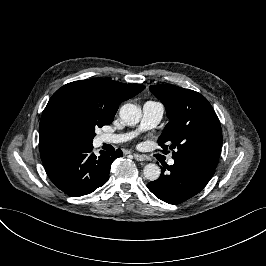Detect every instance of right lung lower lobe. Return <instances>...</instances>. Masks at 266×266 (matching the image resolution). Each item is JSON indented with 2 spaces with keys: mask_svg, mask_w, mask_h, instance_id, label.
<instances>
[{
  "mask_svg": "<svg viewBox=\"0 0 266 266\" xmlns=\"http://www.w3.org/2000/svg\"><path fill=\"white\" fill-rule=\"evenodd\" d=\"M92 144H78L58 151L46 164L50 180L65 194L73 197L89 194L103 186L109 177L112 162L123 155L101 151L93 152Z\"/></svg>",
  "mask_w": 266,
  "mask_h": 266,
  "instance_id": "1",
  "label": "right lung lower lobe"
}]
</instances>
